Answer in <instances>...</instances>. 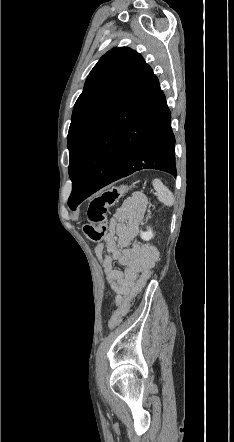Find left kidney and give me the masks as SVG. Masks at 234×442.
<instances>
[{
  "mask_svg": "<svg viewBox=\"0 0 234 442\" xmlns=\"http://www.w3.org/2000/svg\"><path fill=\"white\" fill-rule=\"evenodd\" d=\"M154 237L153 231L151 230V228H147L146 232H141V238L145 241H149L150 239H152Z\"/></svg>",
  "mask_w": 234,
  "mask_h": 442,
  "instance_id": "left-kidney-1",
  "label": "left kidney"
}]
</instances>
